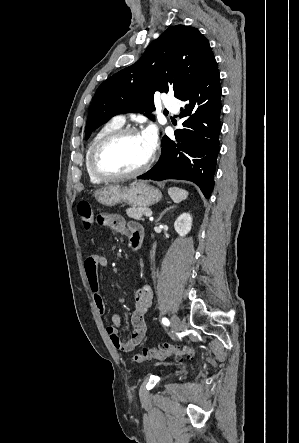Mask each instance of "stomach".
Instances as JSON below:
<instances>
[{"label": "stomach", "instance_id": "obj_1", "mask_svg": "<svg viewBox=\"0 0 299 443\" xmlns=\"http://www.w3.org/2000/svg\"><path fill=\"white\" fill-rule=\"evenodd\" d=\"M96 200L105 206H115L119 203H127L136 207H147L157 203L161 192L146 182H134L129 187L110 185L95 191Z\"/></svg>", "mask_w": 299, "mask_h": 443}]
</instances>
